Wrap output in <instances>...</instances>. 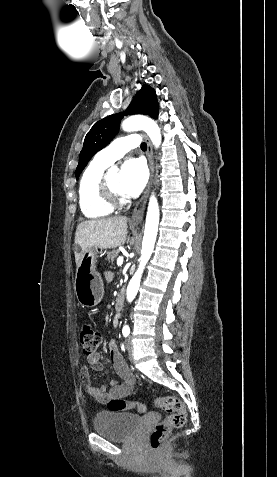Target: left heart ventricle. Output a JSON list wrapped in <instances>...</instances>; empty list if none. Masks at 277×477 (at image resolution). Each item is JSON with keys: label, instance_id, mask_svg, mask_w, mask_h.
I'll return each instance as SVG.
<instances>
[{"label": "left heart ventricle", "instance_id": "b2bd125f", "mask_svg": "<svg viewBox=\"0 0 277 477\" xmlns=\"http://www.w3.org/2000/svg\"><path fill=\"white\" fill-rule=\"evenodd\" d=\"M109 182L113 190L120 193V174L119 173H110L108 175Z\"/></svg>", "mask_w": 277, "mask_h": 477}]
</instances>
